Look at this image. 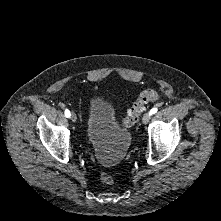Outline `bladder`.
Here are the masks:
<instances>
[{
  "label": "bladder",
  "mask_w": 221,
  "mask_h": 221,
  "mask_svg": "<svg viewBox=\"0 0 221 221\" xmlns=\"http://www.w3.org/2000/svg\"><path fill=\"white\" fill-rule=\"evenodd\" d=\"M86 134L97 160L106 167L117 165L128 154L131 133L118 124L113 104L107 98L90 100Z\"/></svg>",
  "instance_id": "31cf9c89"
}]
</instances>
